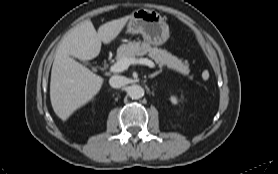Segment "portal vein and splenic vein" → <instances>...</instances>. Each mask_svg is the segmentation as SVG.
<instances>
[{
    "label": "portal vein and splenic vein",
    "mask_w": 278,
    "mask_h": 174,
    "mask_svg": "<svg viewBox=\"0 0 278 174\" xmlns=\"http://www.w3.org/2000/svg\"><path fill=\"white\" fill-rule=\"evenodd\" d=\"M131 64H142V65H147L150 68H155L154 62L147 58H141V59L124 58V59H121L118 62H116L114 65H112L110 67V71L114 72V73H120V72H123L124 70L128 69L129 65H131Z\"/></svg>",
    "instance_id": "obj_1"
}]
</instances>
